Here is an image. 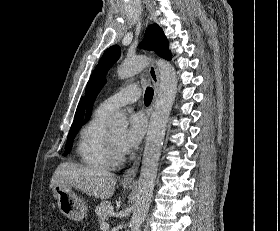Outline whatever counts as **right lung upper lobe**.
I'll use <instances>...</instances> for the list:
<instances>
[{"label":"right lung upper lobe","mask_w":280,"mask_h":231,"mask_svg":"<svg viewBox=\"0 0 280 231\" xmlns=\"http://www.w3.org/2000/svg\"><path fill=\"white\" fill-rule=\"evenodd\" d=\"M83 114H84V99L82 97L80 102H79V105L77 107L76 114H75L74 121H73V124L71 126V129L72 128H79V127L82 126Z\"/></svg>","instance_id":"obj_1"}]
</instances>
